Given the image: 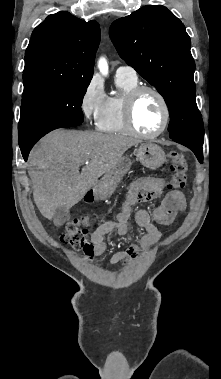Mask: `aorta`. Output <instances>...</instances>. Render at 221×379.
<instances>
[{
	"instance_id": "762f6f07",
	"label": "aorta",
	"mask_w": 221,
	"mask_h": 379,
	"mask_svg": "<svg viewBox=\"0 0 221 379\" xmlns=\"http://www.w3.org/2000/svg\"><path fill=\"white\" fill-rule=\"evenodd\" d=\"M98 67L100 69V71L106 75L108 73V65H107V61L104 59V58H101L98 62Z\"/></svg>"
}]
</instances>
